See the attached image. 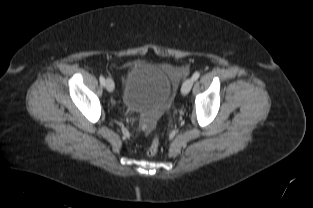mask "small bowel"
Wrapping results in <instances>:
<instances>
[{
  "label": "small bowel",
  "mask_w": 313,
  "mask_h": 208,
  "mask_svg": "<svg viewBox=\"0 0 313 208\" xmlns=\"http://www.w3.org/2000/svg\"><path fill=\"white\" fill-rule=\"evenodd\" d=\"M186 71H187L186 68L169 70L170 75L172 76L174 80H178Z\"/></svg>",
  "instance_id": "1"
}]
</instances>
